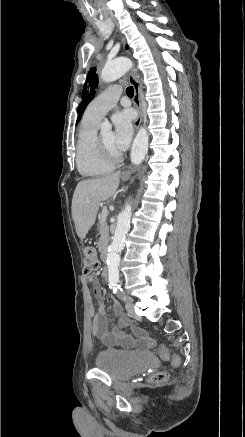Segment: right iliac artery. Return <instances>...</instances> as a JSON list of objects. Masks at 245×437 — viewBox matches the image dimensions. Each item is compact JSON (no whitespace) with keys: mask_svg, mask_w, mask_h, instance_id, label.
<instances>
[{"mask_svg":"<svg viewBox=\"0 0 245 437\" xmlns=\"http://www.w3.org/2000/svg\"><path fill=\"white\" fill-rule=\"evenodd\" d=\"M109 287L112 289L113 293L117 292V284L112 283V284L109 285Z\"/></svg>","mask_w":245,"mask_h":437,"instance_id":"82829eb1","label":"right iliac artery"}]
</instances>
